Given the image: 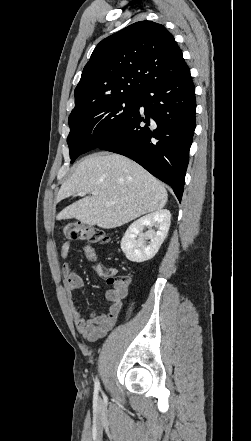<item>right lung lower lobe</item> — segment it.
<instances>
[{
	"label": "right lung lower lobe",
	"instance_id": "right-lung-lower-lobe-1",
	"mask_svg": "<svg viewBox=\"0 0 251 441\" xmlns=\"http://www.w3.org/2000/svg\"><path fill=\"white\" fill-rule=\"evenodd\" d=\"M195 111V86L185 66L150 85L140 95L138 109L127 124L98 148L136 161L170 185L181 201Z\"/></svg>",
	"mask_w": 251,
	"mask_h": 441
}]
</instances>
